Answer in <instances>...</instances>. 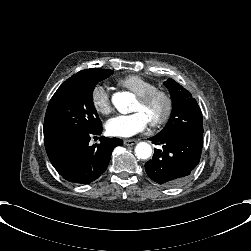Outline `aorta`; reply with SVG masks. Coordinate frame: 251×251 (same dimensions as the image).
Returning <instances> with one entry per match:
<instances>
[{"label":"aorta","mask_w":251,"mask_h":251,"mask_svg":"<svg viewBox=\"0 0 251 251\" xmlns=\"http://www.w3.org/2000/svg\"><path fill=\"white\" fill-rule=\"evenodd\" d=\"M134 101V97L129 92H121L113 97V103L117 111L121 114H127L130 103ZM152 154L150 144L146 142H138L135 146V155L140 159H147Z\"/></svg>","instance_id":"aorta-1"}]
</instances>
